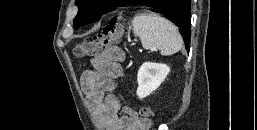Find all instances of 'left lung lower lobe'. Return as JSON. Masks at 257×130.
I'll use <instances>...</instances> for the list:
<instances>
[{"label": "left lung lower lobe", "instance_id": "0a47b994", "mask_svg": "<svg viewBox=\"0 0 257 130\" xmlns=\"http://www.w3.org/2000/svg\"><path fill=\"white\" fill-rule=\"evenodd\" d=\"M134 3L150 7L179 27L186 50L189 51L191 36L190 0H139Z\"/></svg>", "mask_w": 257, "mask_h": 130}]
</instances>
